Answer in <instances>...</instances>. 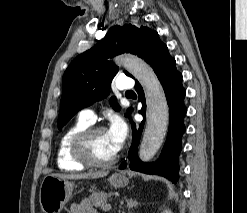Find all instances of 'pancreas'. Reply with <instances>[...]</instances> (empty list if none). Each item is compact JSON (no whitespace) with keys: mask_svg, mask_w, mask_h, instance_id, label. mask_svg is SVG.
<instances>
[{"mask_svg":"<svg viewBox=\"0 0 247 213\" xmlns=\"http://www.w3.org/2000/svg\"><path fill=\"white\" fill-rule=\"evenodd\" d=\"M110 196L111 193L95 192L89 197V199L91 200L94 206L104 209L107 199Z\"/></svg>","mask_w":247,"mask_h":213,"instance_id":"cf45deb5","label":"pancreas"}]
</instances>
